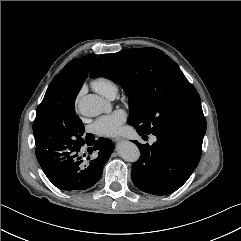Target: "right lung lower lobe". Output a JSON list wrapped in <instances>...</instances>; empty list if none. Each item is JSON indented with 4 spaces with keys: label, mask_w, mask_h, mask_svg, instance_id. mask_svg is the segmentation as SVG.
I'll return each mask as SVG.
<instances>
[{
    "label": "right lung lower lobe",
    "mask_w": 241,
    "mask_h": 241,
    "mask_svg": "<svg viewBox=\"0 0 241 241\" xmlns=\"http://www.w3.org/2000/svg\"><path fill=\"white\" fill-rule=\"evenodd\" d=\"M36 157L45 175L57 188L66 191L85 190L101 178L103 165L113 152L114 145L110 139L88 138L83 146L88 151L98 154L88 162L82 163L81 147L66 148L63 145L44 144L35 138ZM85 156V154H84Z\"/></svg>",
    "instance_id": "obj_1"
}]
</instances>
